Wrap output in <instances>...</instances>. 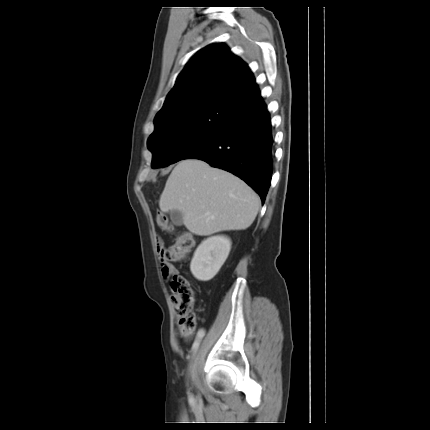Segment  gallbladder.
Here are the masks:
<instances>
[{"label": "gallbladder", "mask_w": 430, "mask_h": 430, "mask_svg": "<svg viewBox=\"0 0 430 430\" xmlns=\"http://www.w3.org/2000/svg\"><path fill=\"white\" fill-rule=\"evenodd\" d=\"M170 218L173 224L176 226H181L183 224V215L178 210L171 211Z\"/></svg>", "instance_id": "1"}]
</instances>
